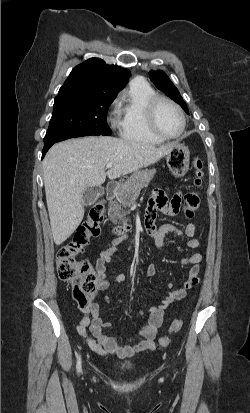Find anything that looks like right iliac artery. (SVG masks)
<instances>
[{
    "label": "right iliac artery",
    "mask_w": 250,
    "mask_h": 413,
    "mask_svg": "<svg viewBox=\"0 0 250 413\" xmlns=\"http://www.w3.org/2000/svg\"><path fill=\"white\" fill-rule=\"evenodd\" d=\"M76 367H77V372H80L81 371V356L80 355L77 356V365H76Z\"/></svg>",
    "instance_id": "obj_1"
}]
</instances>
